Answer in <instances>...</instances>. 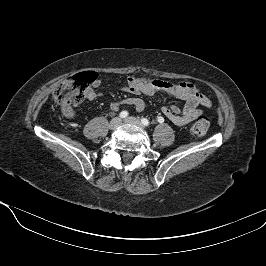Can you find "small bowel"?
<instances>
[{"label":"small bowel","mask_w":266,"mask_h":266,"mask_svg":"<svg viewBox=\"0 0 266 266\" xmlns=\"http://www.w3.org/2000/svg\"><path fill=\"white\" fill-rule=\"evenodd\" d=\"M101 85L100 80L93 83L94 87ZM123 90L134 95L151 96L157 93H165L169 96L176 97L185 101L183 108L177 105L164 106L162 114L176 126H184L192 122L202 114L200 106L205 108L211 107V101L192 83L181 82L178 84L169 83L160 79L130 76L127 83L122 87ZM100 96L94 88H89L86 91V99L88 101L95 100ZM133 106L137 111H143L146 103L139 97H128L111 103L110 108L113 111H118L121 106ZM64 115L73 119L76 111L73 108L63 109Z\"/></svg>","instance_id":"small-bowel-1"}]
</instances>
